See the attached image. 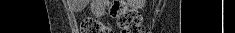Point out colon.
Instances as JSON below:
<instances>
[{"label":"colon","instance_id":"5ec220e1","mask_svg":"<svg viewBox=\"0 0 235 33\" xmlns=\"http://www.w3.org/2000/svg\"><path fill=\"white\" fill-rule=\"evenodd\" d=\"M112 17L117 20L121 33H143L141 17L130 10L122 1L114 0L110 6ZM81 33H113L112 29L102 21L87 17L80 23Z\"/></svg>","mask_w":235,"mask_h":33}]
</instances>
